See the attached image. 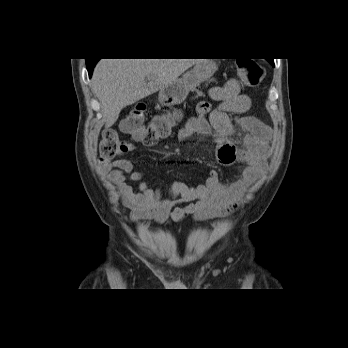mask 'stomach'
Instances as JSON below:
<instances>
[{"instance_id":"obj_1","label":"stomach","mask_w":348,"mask_h":348,"mask_svg":"<svg viewBox=\"0 0 348 348\" xmlns=\"http://www.w3.org/2000/svg\"><path fill=\"white\" fill-rule=\"evenodd\" d=\"M216 70V64L212 60H201L181 78L164 86L158 95L159 102L165 106L183 102L190 91L211 78Z\"/></svg>"}]
</instances>
